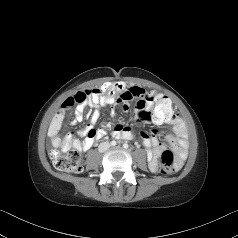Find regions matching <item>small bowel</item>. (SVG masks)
<instances>
[{
  "label": "small bowel",
  "instance_id": "1",
  "mask_svg": "<svg viewBox=\"0 0 238 238\" xmlns=\"http://www.w3.org/2000/svg\"><path fill=\"white\" fill-rule=\"evenodd\" d=\"M157 98H163V96H156L153 93L145 91L143 88L138 86H132L126 89L119 103H122L123 109L127 111L129 109V102H137L138 115L145 121L156 123H162L154 118L147 115L150 110V106L154 103ZM65 102V101H64ZM64 102L61 105L60 110L55 114L49 126V135L52 138V145L54 147L60 148L62 151L66 152L71 147H74L78 151H87L92 147L94 142L105 136L106 131L104 129H95L94 125L97 123L100 117V108L105 105H115L116 103H105V96L94 93L90 95L88 100L78 102L74 114L75 122H80L83 119L84 109L86 105L93 108L90 116V124L83 130L79 131V136L82 139L76 138L72 135H67L61 137L59 135V130L62 126L65 111L71 107H65ZM114 113V112H113ZM173 127V134L166 136V139L177 155L178 159L181 161L186 156V150L188 146L187 140V130L183 121L175 114L174 117L167 121ZM155 130L151 134L146 132L141 133V139L143 145L147 148L148 163L151 170L155 171L157 169V162L159 156L166 149V146L162 144L157 136ZM113 135L118 139L131 140L134 138V133L129 126L115 125L113 128Z\"/></svg>",
  "mask_w": 238,
  "mask_h": 238
}]
</instances>
